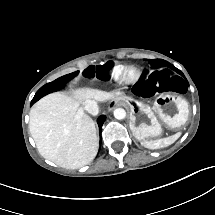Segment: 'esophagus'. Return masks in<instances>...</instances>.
<instances>
[{"label":"esophagus","instance_id":"obj_1","mask_svg":"<svg viewBox=\"0 0 215 215\" xmlns=\"http://www.w3.org/2000/svg\"><path fill=\"white\" fill-rule=\"evenodd\" d=\"M115 106H116L115 100L111 101V102L109 103V110H113V109L115 108Z\"/></svg>","mask_w":215,"mask_h":215}]
</instances>
